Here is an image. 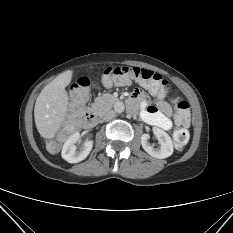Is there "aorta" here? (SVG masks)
Instances as JSON below:
<instances>
[{"instance_id": "aorta-1", "label": "aorta", "mask_w": 233, "mask_h": 233, "mask_svg": "<svg viewBox=\"0 0 233 233\" xmlns=\"http://www.w3.org/2000/svg\"><path fill=\"white\" fill-rule=\"evenodd\" d=\"M125 107L124 104L122 102H117L115 104V111L118 113H122L124 111Z\"/></svg>"}]
</instances>
